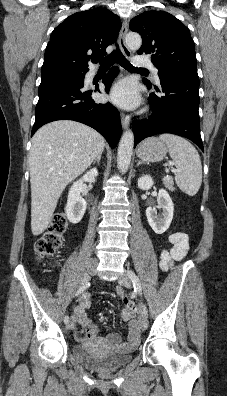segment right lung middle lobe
<instances>
[{"mask_svg":"<svg viewBox=\"0 0 227 396\" xmlns=\"http://www.w3.org/2000/svg\"><path fill=\"white\" fill-rule=\"evenodd\" d=\"M86 71L71 70V69H50L41 71V78L47 79L57 76H69L74 78H84Z\"/></svg>","mask_w":227,"mask_h":396,"instance_id":"right-lung-middle-lobe-1","label":"right lung middle lobe"}]
</instances>
